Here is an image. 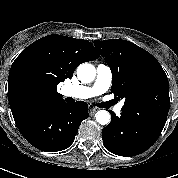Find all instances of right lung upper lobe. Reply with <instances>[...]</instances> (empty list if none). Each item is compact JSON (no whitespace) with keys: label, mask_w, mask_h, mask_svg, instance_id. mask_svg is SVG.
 <instances>
[{"label":"right lung upper lobe","mask_w":178,"mask_h":178,"mask_svg":"<svg viewBox=\"0 0 178 178\" xmlns=\"http://www.w3.org/2000/svg\"><path fill=\"white\" fill-rule=\"evenodd\" d=\"M100 55L87 40L45 36L25 48L8 77V100L13 117L24 109L62 100L57 85L72 78L77 66Z\"/></svg>","instance_id":"cb5924a9"}]
</instances>
